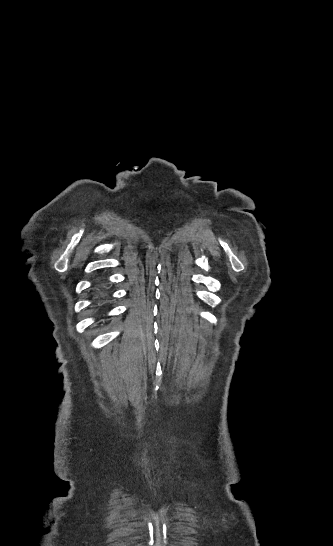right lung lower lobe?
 <instances>
[{
	"mask_svg": "<svg viewBox=\"0 0 333 546\" xmlns=\"http://www.w3.org/2000/svg\"><path fill=\"white\" fill-rule=\"evenodd\" d=\"M96 300L98 301L99 304H103L104 302H106L105 296H103V294L101 292L96 297Z\"/></svg>",
	"mask_w": 333,
	"mask_h": 546,
	"instance_id": "obj_1",
	"label": "right lung lower lobe"
}]
</instances>
